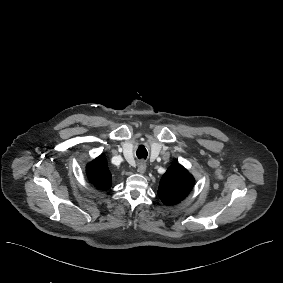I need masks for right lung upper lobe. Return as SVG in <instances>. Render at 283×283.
<instances>
[{"label":"right lung upper lobe","mask_w":283,"mask_h":283,"mask_svg":"<svg viewBox=\"0 0 283 283\" xmlns=\"http://www.w3.org/2000/svg\"><path fill=\"white\" fill-rule=\"evenodd\" d=\"M89 181L97 188L107 190L111 187V173L104 155H100L86 167Z\"/></svg>","instance_id":"1"}]
</instances>
